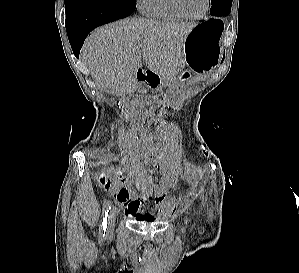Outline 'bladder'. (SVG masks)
Here are the masks:
<instances>
[{
    "mask_svg": "<svg viewBox=\"0 0 299 273\" xmlns=\"http://www.w3.org/2000/svg\"><path fill=\"white\" fill-rule=\"evenodd\" d=\"M156 217H157V219L154 222L160 223V222L164 221L166 219V215L164 214V210L159 212L156 215Z\"/></svg>",
    "mask_w": 299,
    "mask_h": 273,
    "instance_id": "1",
    "label": "bladder"
}]
</instances>
